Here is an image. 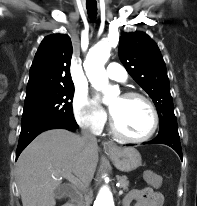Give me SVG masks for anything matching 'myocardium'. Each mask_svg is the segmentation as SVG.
Wrapping results in <instances>:
<instances>
[{"label":"myocardium","mask_w":197,"mask_h":206,"mask_svg":"<svg viewBox=\"0 0 197 206\" xmlns=\"http://www.w3.org/2000/svg\"><path fill=\"white\" fill-rule=\"evenodd\" d=\"M121 97L124 99L137 98V99L143 100L149 106V108L151 110L152 117H153V124H152L150 131L146 135L141 136V137H133V136L125 134L123 131L120 130V128L116 124V121H115L112 113H110L111 131L113 132V134L115 136H117L118 138H121L123 140H126V141L144 142V141L149 140L155 134V132L157 131L158 126H159V114H158V111H157L155 104L148 96H146L143 93L136 92V91H127V92L123 93L121 95Z\"/></svg>","instance_id":"f54148a6"}]
</instances>
